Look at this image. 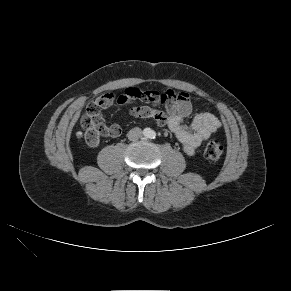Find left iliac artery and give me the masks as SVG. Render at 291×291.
Returning a JSON list of instances; mask_svg holds the SVG:
<instances>
[{
  "label": "left iliac artery",
  "mask_w": 291,
  "mask_h": 291,
  "mask_svg": "<svg viewBox=\"0 0 291 291\" xmlns=\"http://www.w3.org/2000/svg\"><path fill=\"white\" fill-rule=\"evenodd\" d=\"M156 137V133L155 132H152L151 134H150V138L151 139H154Z\"/></svg>",
  "instance_id": "44dca946"
}]
</instances>
